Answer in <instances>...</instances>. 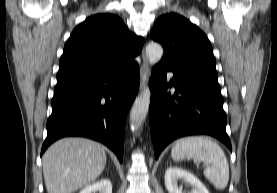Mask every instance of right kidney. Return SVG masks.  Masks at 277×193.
I'll use <instances>...</instances> for the list:
<instances>
[{
	"mask_svg": "<svg viewBox=\"0 0 277 193\" xmlns=\"http://www.w3.org/2000/svg\"><path fill=\"white\" fill-rule=\"evenodd\" d=\"M112 193V184L110 180L103 179L92 185L85 187L79 193Z\"/></svg>",
	"mask_w": 277,
	"mask_h": 193,
	"instance_id": "1",
	"label": "right kidney"
}]
</instances>
